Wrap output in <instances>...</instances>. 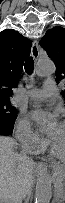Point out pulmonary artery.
<instances>
[{
    "instance_id": "pulmonary-artery-1",
    "label": "pulmonary artery",
    "mask_w": 65,
    "mask_h": 203,
    "mask_svg": "<svg viewBox=\"0 0 65 203\" xmlns=\"http://www.w3.org/2000/svg\"><path fill=\"white\" fill-rule=\"evenodd\" d=\"M57 92V87L53 81H46L42 88L32 89L27 92V96L31 99H43L51 97Z\"/></svg>"
}]
</instances>
